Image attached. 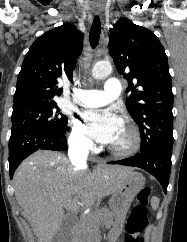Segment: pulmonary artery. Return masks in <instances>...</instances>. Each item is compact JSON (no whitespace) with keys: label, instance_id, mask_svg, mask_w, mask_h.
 Wrapping results in <instances>:
<instances>
[{"label":"pulmonary artery","instance_id":"e3ab8cb5","mask_svg":"<svg viewBox=\"0 0 187 242\" xmlns=\"http://www.w3.org/2000/svg\"><path fill=\"white\" fill-rule=\"evenodd\" d=\"M120 92V81L116 78H109L106 80L103 90H77L76 101L85 107L103 106L117 98Z\"/></svg>","mask_w":187,"mask_h":242}]
</instances>
